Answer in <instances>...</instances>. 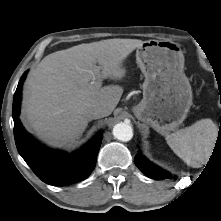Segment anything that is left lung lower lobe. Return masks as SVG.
I'll return each mask as SVG.
<instances>
[{
    "label": "left lung lower lobe",
    "instance_id": "0a47b994",
    "mask_svg": "<svg viewBox=\"0 0 221 221\" xmlns=\"http://www.w3.org/2000/svg\"><path fill=\"white\" fill-rule=\"evenodd\" d=\"M217 143L221 145V135L218 134ZM136 166L149 178L155 180L171 179L172 175L155 166L141 153L137 154L134 158Z\"/></svg>",
    "mask_w": 221,
    "mask_h": 221
}]
</instances>
